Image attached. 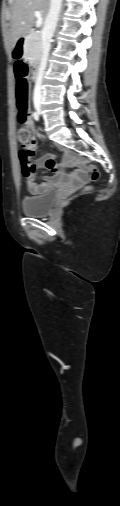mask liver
<instances>
[{"instance_id":"liver-1","label":"liver","mask_w":120,"mask_h":506,"mask_svg":"<svg viewBox=\"0 0 120 506\" xmlns=\"http://www.w3.org/2000/svg\"><path fill=\"white\" fill-rule=\"evenodd\" d=\"M50 0H13L10 44L14 48L17 41L29 33L36 22L35 11L46 18Z\"/></svg>"}]
</instances>
